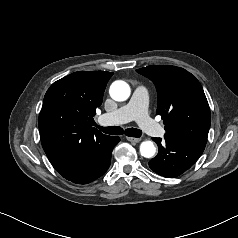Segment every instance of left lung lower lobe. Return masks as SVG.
Returning <instances> with one entry per match:
<instances>
[{
	"label": "left lung lower lobe",
	"mask_w": 238,
	"mask_h": 238,
	"mask_svg": "<svg viewBox=\"0 0 238 238\" xmlns=\"http://www.w3.org/2000/svg\"><path fill=\"white\" fill-rule=\"evenodd\" d=\"M158 145L159 152L149 162V167L157 174L174 178L189 169L201 156L204 147L166 137L162 142L160 138H152Z\"/></svg>",
	"instance_id": "obj_1"
}]
</instances>
